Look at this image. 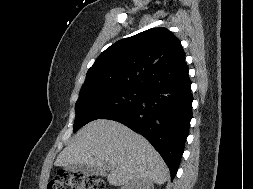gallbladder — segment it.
Instances as JSON below:
<instances>
[{
    "label": "gallbladder",
    "mask_w": 253,
    "mask_h": 189,
    "mask_svg": "<svg viewBox=\"0 0 253 189\" xmlns=\"http://www.w3.org/2000/svg\"><path fill=\"white\" fill-rule=\"evenodd\" d=\"M66 170L71 172H81L85 175H101L105 176V172L96 167L85 164H75L66 167Z\"/></svg>",
    "instance_id": "bac80fb5"
}]
</instances>
